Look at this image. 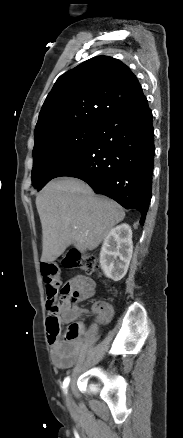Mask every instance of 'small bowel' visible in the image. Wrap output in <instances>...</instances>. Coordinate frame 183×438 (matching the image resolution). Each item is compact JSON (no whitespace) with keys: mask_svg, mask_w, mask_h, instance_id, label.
<instances>
[{"mask_svg":"<svg viewBox=\"0 0 183 438\" xmlns=\"http://www.w3.org/2000/svg\"><path fill=\"white\" fill-rule=\"evenodd\" d=\"M74 296L76 301H83L92 297L95 293L96 284L95 281L85 275H77L70 279L66 284ZM92 312L97 315L101 323H107L110 321L113 315V309L110 304L100 301L96 302L92 307ZM89 311L80 308L78 306H72L70 299L65 300L61 312V322L68 324L75 322L80 317H87ZM79 323V322H77ZM81 326V332H83V325ZM48 342L51 347V354L54 364L58 368H68L73 365L82 349L83 340L77 338L71 341H66L58 336H53L48 333Z\"/></svg>","mask_w":183,"mask_h":438,"instance_id":"small-bowel-1","label":"small bowel"}]
</instances>
